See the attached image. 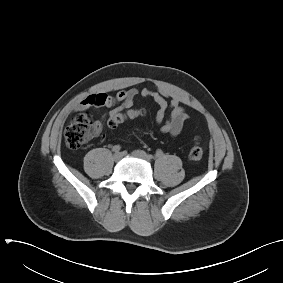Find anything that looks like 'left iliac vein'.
I'll list each match as a JSON object with an SVG mask.
<instances>
[{"instance_id": "4c4485c4", "label": "left iliac vein", "mask_w": 283, "mask_h": 283, "mask_svg": "<svg viewBox=\"0 0 283 283\" xmlns=\"http://www.w3.org/2000/svg\"><path fill=\"white\" fill-rule=\"evenodd\" d=\"M132 155L134 157H137V158H141L147 162H149L151 160V157L150 155H148L146 152L142 151V150H135L132 152Z\"/></svg>"}]
</instances>
